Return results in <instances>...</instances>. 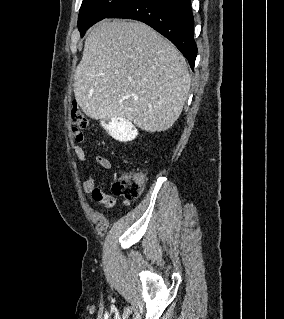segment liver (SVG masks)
Here are the masks:
<instances>
[{
	"mask_svg": "<svg viewBox=\"0 0 284 319\" xmlns=\"http://www.w3.org/2000/svg\"><path fill=\"white\" fill-rule=\"evenodd\" d=\"M190 84L184 56L151 27L103 20L85 40L74 94L90 118H123L161 132L180 116Z\"/></svg>",
	"mask_w": 284,
	"mask_h": 319,
	"instance_id": "1",
	"label": "liver"
}]
</instances>
